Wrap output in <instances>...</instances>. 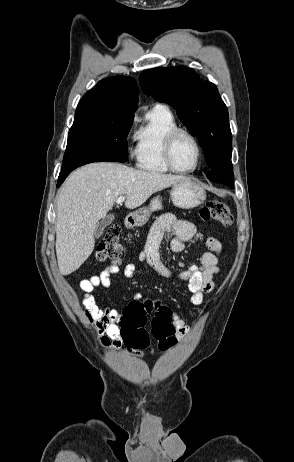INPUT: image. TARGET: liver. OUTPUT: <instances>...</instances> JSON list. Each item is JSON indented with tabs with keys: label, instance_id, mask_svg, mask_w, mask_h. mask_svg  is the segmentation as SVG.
<instances>
[{
	"label": "liver",
	"instance_id": "liver-1",
	"mask_svg": "<svg viewBox=\"0 0 294 462\" xmlns=\"http://www.w3.org/2000/svg\"><path fill=\"white\" fill-rule=\"evenodd\" d=\"M185 178L111 162L91 163L71 173L57 196L55 246L60 273L71 274L91 255L98 221L119 196H126V208L135 209Z\"/></svg>",
	"mask_w": 294,
	"mask_h": 462
}]
</instances>
